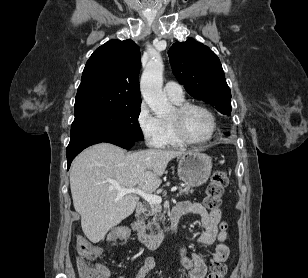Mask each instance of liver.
<instances>
[{
	"mask_svg": "<svg viewBox=\"0 0 308 278\" xmlns=\"http://www.w3.org/2000/svg\"><path fill=\"white\" fill-rule=\"evenodd\" d=\"M184 153L161 149L126 153L110 143L96 144L82 151L72 164L70 188L85 236L93 243L99 242L109 229L135 210L137 194L118 198L117 187L155 191L168 163Z\"/></svg>",
	"mask_w": 308,
	"mask_h": 278,
	"instance_id": "6515ba94",
	"label": "liver"
}]
</instances>
